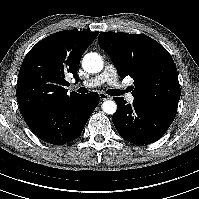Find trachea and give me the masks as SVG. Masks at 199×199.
I'll return each mask as SVG.
<instances>
[{
	"label": "trachea",
	"mask_w": 199,
	"mask_h": 199,
	"mask_svg": "<svg viewBox=\"0 0 199 199\" xmlns=\"http://www.w3.org/2000/svg\"><path fill=\"white\" fill-rule=\"evenodd\" d=\"M78 92L79 93H82V94H85V93H87L88 91H87V89L86 88H79L78 89ZM107 93L109 94V95H111V96H119V95H121V93L119 92V91H117L116 89H109L108 91H107Z\"/></svg>",
	"instance_id": "3493384b"
}]
</instances>
